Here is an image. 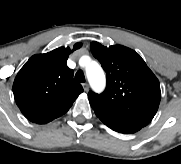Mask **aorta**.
<instances>
[{
    "label": "aorta",
    "instance_id": "obj_1",
    "mask_svg": "<svg viewBox=\"0 0 181 164\" xmlns=\"http://www.w3.org/2000/svg\"><path fill=\"white\" fill-rule=\"evenodd\" d=\"M86 75L91 87L95 91L100 92L104 89L106 82L105 74L103 69L97 62L92 61L86 67Z\"/></svg>",
    "mask_w": 181,
    "mask_h": 164
}]
</instances>
